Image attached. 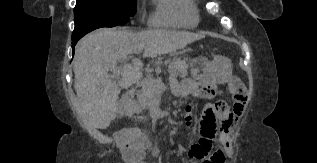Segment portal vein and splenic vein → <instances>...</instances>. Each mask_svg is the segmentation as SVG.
<instances>
[{
	"label": "portal vein and splenic vein",
	"instance_id": "portal-vein-and-splenic-vein-1",
	"mask_svg": "<svg viewBox=\"0 0 317 163\" xmlns=\"http://www.w3.org/2000/svg\"><path fill=\"white\" fill-rule=\"evenodd\" d=\"M111 70L113 71L114 75H119L121 74V66L120 67H112ZM171 77L173 75L171 74ZM140 77L137 76L136 80L137 82L140 81ZM141 83H147L150 87L155 89L156 91H162L165 88V84L162 82L161 79H151L149 82L141 81Z\"/></svg>",
	"mask_w": 317,
	"mask_h": 163
}]
</instances>
